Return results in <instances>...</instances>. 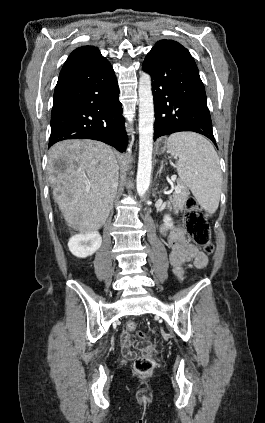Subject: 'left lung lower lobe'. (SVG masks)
<instances>
[{"label":"left lung lower lobe","instance_id":"obj_1","mask_svg":"<svg viewBox=\"0 0 265 423\" xmlns=\"http://www.w3.org/2000/svg\"><path fill=\"white\" fill-rule=\"evenodd\" d=\"M142 68L152 78L154 141L163 135L193 131L216 145L205 88L189 51L176 41L161 40L147 54Z\"/></svg>","mask_w":265,"mask_h":423}]
</instances>
